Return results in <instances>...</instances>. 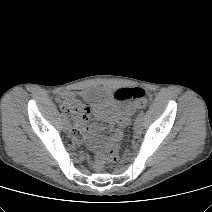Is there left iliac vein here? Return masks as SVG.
I'll list each match as a JSON object with an SVG mask.
<instances>
[{
  "label": "left iliac vein",
  "mask_w": 212,
  "mask_h": 212,
  "mask_svg": "<svg viewBox=\"0 0 212 212\" xmlns=\"http://www.w3.org/2000/svg\"><path fill=\"white\" fill-rule=\"evenodd\" d=\"M133 129L136 133H139L142 129V119H140L139 117L136 118L135 122H134V126Z\"/></svg>",
  "instance_id": "left-iliac-vein-1"
}]
</instances>
